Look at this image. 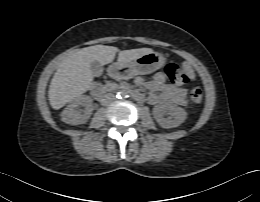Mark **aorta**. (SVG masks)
<instances>
[{
	"mask_svg": "<svg viewBox=\"0 0 260 202\" xmlns=\"http://www.w3.org/2000/svg\"><path fill=\"white\" fill-rule=\"evenodd\" d=\"M117 97L118 98H126V97H128V92L125 91V90H121V91L118 92Z\"/></svg>",
	"mask_w": 260,
	"mask_h": 202,
	"instance_id": "obj_1",
	"label": "aorta"
}]
</instances>
